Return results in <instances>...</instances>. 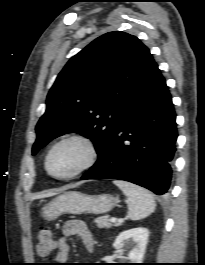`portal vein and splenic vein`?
Masks as SVG:
<instances>
[{"label": "portal vein and splenic vein", "mask_w": 205, "mask_h": 265, "mask_svg": "<svg viewBox=\"0 0 205 265\" xmlns=\"http://www.w3.org/2000/svg\"><path fill=\"white\" fill-rule=\"evenodd\" d=\"M110 221L115 223V222H118L119 220H118L117 218H115V217H112V218L110 219Z\"/></svg>", "instance_id": "18ae733b"}]
</instances>
